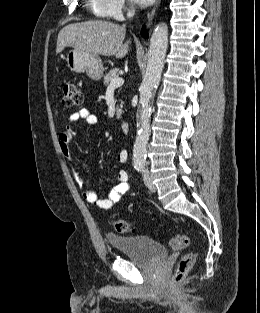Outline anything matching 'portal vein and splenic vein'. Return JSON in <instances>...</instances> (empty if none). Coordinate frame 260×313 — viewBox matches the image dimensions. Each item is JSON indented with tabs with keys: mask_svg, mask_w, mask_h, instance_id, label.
<instances>
[{
	"mask_svg": "<svg viewBox=\"0 0 260 313\" xmlns=\"http://www.w3.org/2000/svg\"><path fill=\"white\" fill-rule=\"evenodd\" d=\"M123 83H124V79L123 78H120V77L114 78L110 82L109 88H118V87L122 86Z\"/></svg>",
	"mask_w": 260,
	"mask_h": 313,
	"instance_id": "obj_1",
	"label": "portal vein and splenic vein"
}]
</instances>
